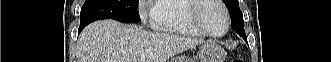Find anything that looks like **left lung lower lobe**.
<instances>
[{
    "instance_id": "obj_1",
    "label": "left lung lower lobe",
    "mask_w": 331,
    "mask_h": 62,
    "mask_svg": "<svg viewBox=\"0 0 331 62\" xmlns=\"http://www.w3.org/2000/svg\"><path fill=\"white\" fill-rule=\"evenodd\" d=\"M232 30L237 32L241 37H243L246 40V35L244 29L242 27L237 26L235 23H231Z\"/></svg>"
}]
</instances>
